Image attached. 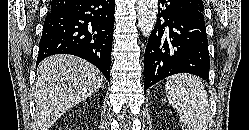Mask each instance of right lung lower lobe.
<instances>
[{
	"instance_id": "right-lung-lower-lobe-1",
	"label": "right lung lower lobe",
	"mask_w": 249,
	"mask_h": 130,
	"mask_svg": "<svg viewBox=\"0 0 249 130\" xmlns=\"http://www.w3.org/2000/svg\"><path fill=\"white\" fill-rule=\"evenodd\" d=\"M115 0H75L50 12L43 25L37 64L72 54L95 65L110 81Z\"/></svg>"
}]
</instances>
